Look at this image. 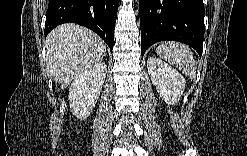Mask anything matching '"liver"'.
<instances>
[{
    "label": "liver",
    "instance_id": "6515ba94",
    "mask_svg": "<svg viewBox=\"0 0 247 156\" xmlns=\"http://www.w3.org/2000/svg\"><path fill=\"white\" fill-rule=\"evenodd\" d=\"M45 47L48 72L62 89L106 55V45L97 34L72 23L53 29Z\"/></svg>",
    "mask_w": 247,
    "mask_h": 156
}]
</instances>
